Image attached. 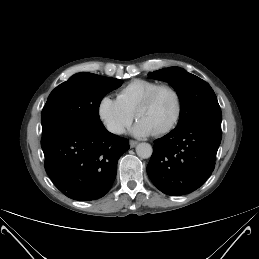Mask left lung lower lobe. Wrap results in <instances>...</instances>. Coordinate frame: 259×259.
<instances>
[{
  "label": "left lung lower lobe",
  "mask_w": 259,
  "mask_h": 259,
  "mask_svg": "<svg viewBox=\"0 0 259 259\" xmlns=\"http://www.w3.org/2000/svg\"><path fill=\"white\" fill-rule=\"evenodd\" d=\"M221 124L198 121L154 141L147 166L152 183L166 195L179 196L202 186L215 167Z\"/></svg>",
  "instance_id": "left-lung-lower-lobe-1"
}]
</instances>
